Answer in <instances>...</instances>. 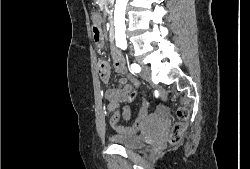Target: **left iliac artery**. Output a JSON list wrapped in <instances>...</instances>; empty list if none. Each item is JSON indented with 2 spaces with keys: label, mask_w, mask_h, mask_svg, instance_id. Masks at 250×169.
Instances as JSON below:
<instances>
[{
  "label": "left iliac artery",
  "mask_w": 250,
  "mask_h": 169,
  "mask_svg": "<svg viewBox=\"0 0 250 169\" xmlns=\"http://www.w3.org/2000/svg\"><path fill=\"white\" fill-rule=\"evenodd\" d=\"M131 70L133 72L139 73L141 71V67L138 64L133 63V64H131Z\"/></svg>",
  "instance_id": "obj_1"
}]
</instances>
